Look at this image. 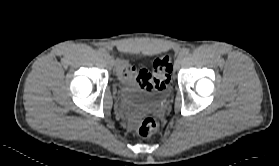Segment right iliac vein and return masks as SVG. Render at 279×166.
<instances>
[{
  "label": "right iliac vein",
  "mask_w": 279,
  "mask_h": 166,
  "mask_svg": "<svg viewBox=\"0 0 279 166\" xmlns=\"http://www.w3.org/2000/svg\"><path fill=\"white\" fill-rule=\"evenodd\" d=\"M105 61H106V64H107L108 67H110V68L113 67L114 60L109 54L105 55Z\"/></svg>",
  "instance_id": "63e3f726"
}]
</instances>
